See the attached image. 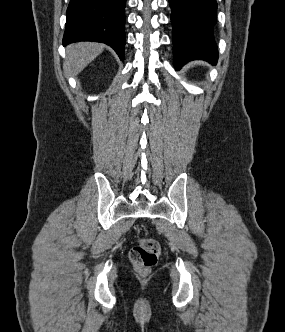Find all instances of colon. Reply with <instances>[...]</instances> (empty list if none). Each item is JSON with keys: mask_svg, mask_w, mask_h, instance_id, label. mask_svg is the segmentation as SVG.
Here are the masks:
<instances>
[{"mask_svg": "<svg viewBox=\"0 0 285 332\" xmlns=\"http://www.w3.org/2000/svg\"><path fill=\"white\" fill-rule=\"evenodd\" d=\"M160 244L154 239H141L131 250L130 260L140 273H148L157 263Z\"/></svg>", "mask_w": 285, "mask_h": 332, "instance_id": "obj_1", "label": "colon"}]
</instances>
